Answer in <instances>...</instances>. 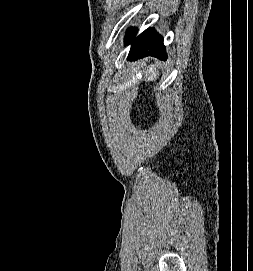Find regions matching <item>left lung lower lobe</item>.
Masks as SVG:
<instances>
[{"instance_id": "1", "label": "left lung lower lobe", "mask_w": 253, "mask_h": 271, "mask_svg": "<svg viewBox=\"0 0 253 271\" xmlns=\"http://www.w3.org/2000/svg\"><path fill=\"white\" fill-rule=\"evenodd\" d=\"M136 34L137 29L131 28L125 36V45L131 44L128 55L129 60H136L145 56L166 59L163 38L153 28L145 30L137 37Z\"/></svg>"}]
</instances>
